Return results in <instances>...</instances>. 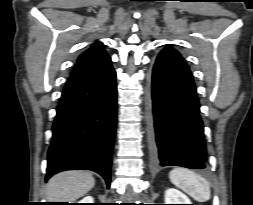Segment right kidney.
<instances>
[{"mask_svg": "<svg viewBox=\"0 0 253 205\" xmlns=\"http://www.w3.org/2000/svg\"><path fill=\"white\" fill-rule=\"evenodd\" d=\"M78 203H94V199L92 196H86Z\"/></svg>", "mask_w": 253, "mask_h": 205, "instance_id": "right-kidney-1", "label": "right kidney"}]
</instances>
